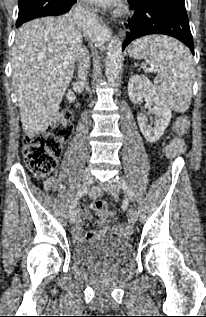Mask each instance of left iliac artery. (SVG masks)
<instances>
[{
	"mask_svg": "<svg viewBox=\"0 0 206 317\" xmlns=\"http://www.w3.org/2000/svg\"><path fill=\"white\" fill-rule=\"evenodd\" d=\"M116 182L118 184V186L128 195L129 199L131 201H134L135 199V194L134 192L131 190V188L129 187V185L127 184V182L120 177L116 178Z\"/></svg>",
	"mask_w": 206,
	"mask_h": 317,
	"instance_id": "44dca946",
	"label": "left iliac artery"
}]
</instances>
